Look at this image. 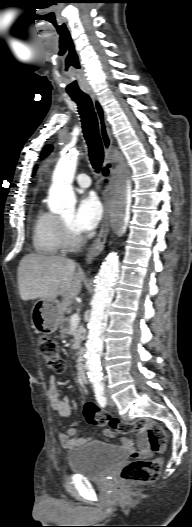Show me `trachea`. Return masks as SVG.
<instances>
[{"instance_id": "obj_1", "label": "trachea", "mask_w": 192, "mask_h": 527, "mask_svg": "<svg viewBox=\"0 0 192 527\" xmlns=\"http://www.w3.org/2000/svg\"><path fill=\"white\" fill-rule=\"evenodd\" d=\"M70 96L78 105L92 167L96 172H99L104 159V150L92 101L85 93L71 94Z\"/></svg>"}]
</instances>
